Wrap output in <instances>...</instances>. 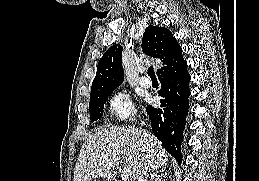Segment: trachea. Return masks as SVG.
<instances>
[{
    "mask_svg": "<svg viewBox=\"0 0 259 181\" xmlns=\"http://www.w3.org/2000/svg\"><path fill=\"white\" fill-rule=\"evenodd\" d=\"M148 75L150 76V78H156L153 66H150L147 70Z\"/></svg>",
    "mask_w": 259,
    "mask_h": 181,
    "instance_id": "obj_1",
    "label": "trachea"
}]
</instances>
